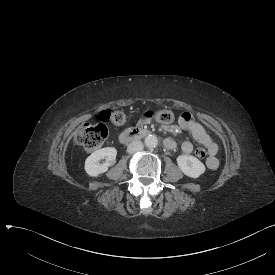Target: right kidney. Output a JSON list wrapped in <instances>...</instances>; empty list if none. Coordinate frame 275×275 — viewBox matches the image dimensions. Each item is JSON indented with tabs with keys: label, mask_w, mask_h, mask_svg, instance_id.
I'll list each match as a JSON object with an SVG mask.
<instances>
[{
	"label": "right kidney",
	"mask_w": 275,
	"mask_h": 275,
	"mask_svg": "<svg viewBox=\"0 0 275 275\" xmlns=\"http://www.w3.org/2000/svg\"><path fill=\"white\" fill-rule=\"evenodd\" d=\"M117 150L114 147H106L93 152L85 160V171L90 176H98L108 170L109 166L116 163ZM105 158V163L99 161Z\"/></svg>",
	"instance_id": "right-kidney-1"
}]
</instances>
